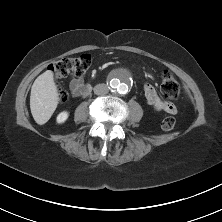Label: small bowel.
<instances>
[{"instance_id":"obj_1","label":"small bowel","mask_w":222,"mask_h":222,"mask_svg":"<svg viewBox=\"0 0 222 222\" xmlns=\"http://www.w3.org/2000/svg\"><path fill=\"white\" fill-rule=\"evenodd\" d=\"M84 88V78L82 77H72L69 83V89L73 96H81L83 94ZM144 94L147 102L153 107L157 112L164 111L168 114H176V106L169 101H163L156 89L151 84H146L144 86Z\"/></svg>"}]
</instances>
